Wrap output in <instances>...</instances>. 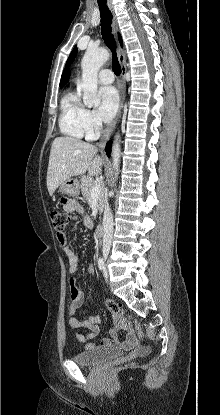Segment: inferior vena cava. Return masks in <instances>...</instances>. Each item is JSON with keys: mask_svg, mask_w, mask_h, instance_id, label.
Returning a JSON list of instances; mask_svg holds the SVG:
<instances>
[{"mask_svg": "<svg viewBox=\"0 0 220 415\" xmlns=\"http://www.w3.org/2000/svg\"><path fill=\"white\" fill-rule=\"evenodd\" d=\"M104 236H103V249L110 250L112 236H113V218L111 214H107L103 221Z\"/></svg>", "mask_w": 220, "mask_h": 415, "instance_id": "obj_1", "label": "inferior vena cava"}]
</instances>
